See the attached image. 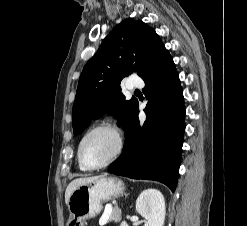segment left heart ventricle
Segmentation results:
<instances>
[{
	"label": "left heart ventricle",
	"mask_w": 247,
	"mask_h": 226,
	"mask_svg": "<svg viewBox=\"0 0 247 226\" xmlns=\"http://www.w3.org/2000/svg\"><path fill=\"white\" fill-rule=\"evenodd\" d=\"M116 148L115 136L107 130H100L89 135L84 141L82 156L89 166L105 162Z\"/></svg>",
	"instance_id": "left-heart-ventricle-1"
}]
</instances>
